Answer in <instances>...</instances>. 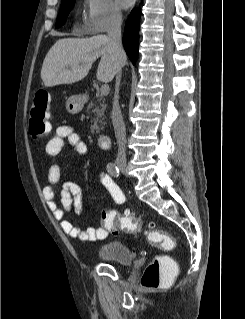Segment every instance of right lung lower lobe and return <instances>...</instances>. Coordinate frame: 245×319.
Wrapping results in <instances>:
<instances>
[{"label":"right lung lower lobe","instance_id":"right-lung-lower-lobe-1","mask_svg":"<svg viewBox=\"0 0 245 319\" xmlns=\"http://www.w3.org/2000/svg\"><path fill=\"white\" fill-rule=\"evenodd\" d=\"M139 14L135 9L131 12L125 25L123 45L129 59L135 64L138 55Z\"/></svg>","mask_w":245,"mask_h":319}]
</instances>
